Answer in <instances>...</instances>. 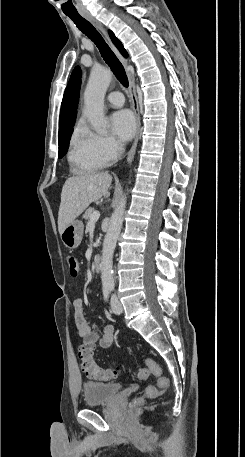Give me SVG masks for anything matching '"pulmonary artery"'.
<instances>
[{
	"label": "pulmonary artery",
	"mask_w": 245,
	"mask_h": 457,
	"mask_svg": "<svg viewBox=\"0 0 245 457\" xmlns=\"http://www.w3.org/2000/svg\"><path fill=\"white\" fill-rule=\"evenodd\" d=\"M106 101L116 107H120L124 104V98L120 92H112L108 94L106 97Z\"/></svg>",
	"instance_id": "pulmonary-artery-1"
}]
</instances>
